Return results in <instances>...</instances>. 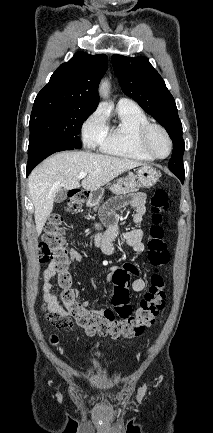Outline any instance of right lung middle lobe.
<instances>
[{"instance_id": "right-lung-middle-lobe-1", "label": "right lung middle lobe", "mask_w": 213, "mask_h": 433, "mask_svg": "<svg viewBox=\"0 0 213 433\" xmlns=\"http://www.w3.org/2000/svg\"><path fill=\"white\" fill-rule=\"evenodd\" d=\"M93 112L94 109L76 104L35 101L29 123V144L48 139L79 149L78 134L84 120Z\"/></svg>"}]
</instances>
